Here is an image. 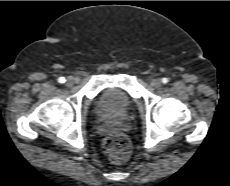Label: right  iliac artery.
<instances>
[{"mask_svg": "<svg viewBox=\"0 0 230 186\" xmlns=\"http://www.w3.org/2000/svg\"><path fill=\"white\" fill-rule=\"evenodd\" d=\"M65 81H66V80H65L64 77H60V78L58 79V82H59V83H65Z\"/></svg>", "mask_w": 230, "mask_h": 186, "instance_id": "obj_1", "label": "right iliac artery"}]
</instances>
